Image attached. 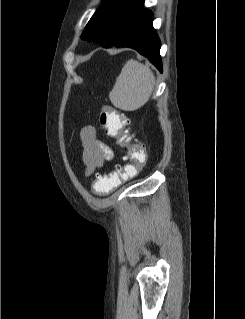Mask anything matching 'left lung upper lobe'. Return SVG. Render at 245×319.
I'll list each match as a JSON object with an SVG mask.
<instances>
[{"label":"left lung upper lobe","mask_w":245,"mask_h":319,"mask_svg":"<svg viewBox=\"0 0 245 319\" xmlns=\"http://www.w3.org/2000/svg\"><path fill=\"white\" fill-rule=\"evenodd\" d=\"M144 0H105L88 22L81 39L110 46L129 19L139 11Z\"/></svg>","instance_id":"obj_1"}]
</instances>
